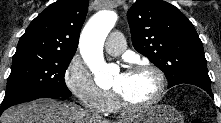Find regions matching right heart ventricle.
I'll list each match as a JSON object with an SVG mask.
<instances>
[{
	"label": "right heart ventricle",
	"instance_id": "e07e8e85",
	"mask_svg": "<svg viewBox=\"0 0 221 123\" xmlns=\"http://www.w3.org/2000/svg\"><path fill=\"white\" fill-rule=\"evenodd\" d=\"M119 109H120V105L117 102L116 98L113 96V98L109 104L107 112H117V111H119Z\"/></svg>",
	"mask_w": 221,
	"mask_h": 123
}]
</instances>
